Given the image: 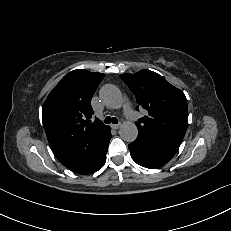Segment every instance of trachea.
Listing matches in <instances>:
<instances>
[{"label": "trachea", "mask_w": 231, "mask_h": 231, "mask_svg": "<svg viewBox=\"0 0 231 231\" xmlns=\"http://www.w3.org/2000/svg\"><path fill=\"white\" fill-rule=\"evenodd\" d=\"M104 122L106 124H109V123H113V124H117L118 123V119L116 117H110V116H107L104 120Z\"/></svg>", "instance_id": "obj_1"}]
</instances>
